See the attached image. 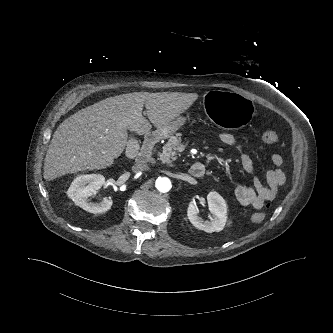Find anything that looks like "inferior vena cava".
Returning <instances> with one entry per match:
<instances>
[{"label": "inferior vena cava", "mask_w": 333, "mask_h": 333, "mask_svg": "<svg viewBox=\"0 0 333 333\" xmlns=\"http://www.w3.org/2000/svg\"><path fill=\"white\" fill-rule=\"evenodd\" d=\"M148 169H149L148 165H146V164H144V163H136V164H134L133 167H132V171H133L134 173L144 172V171H146V170H148Z\"/></svg>", "instance_id": "obj_1"}]
</instances>
